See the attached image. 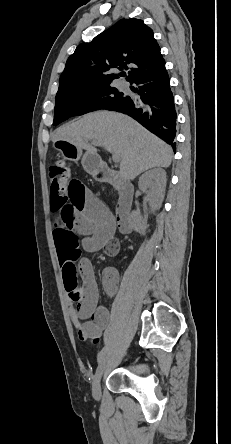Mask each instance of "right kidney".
Masks as SVG:
<instances>
[{
  "instance_id": "right-kidney-1",
  "label": "right kidney",
  "mask_w": 231,
  "mask_h": 444,
  "mask_svg": "<svg viewBox=\"0 0 231 444\" xmlns=\"http://www.w3.org/2000/svg\"><path fill=\"white\" fill-rule=\"evenodd\" d=\"M166 182V172L161 168L149 170L139 178V189L146 193V200L153 211L160 209L162 205ZM131 223L136 232L145 234L148 228L147 220L138 211L131 213Z\"/></svg>"
}]
</instances>
